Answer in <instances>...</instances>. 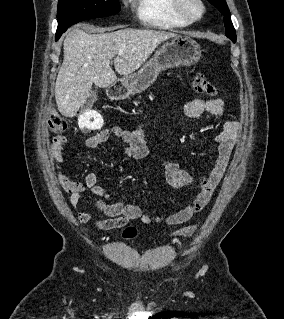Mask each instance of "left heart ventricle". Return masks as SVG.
Segmentation results:
<instances>
[{
  "instance_id": "obj_1",
  "label": "left heart ventricle",
  "mask_w": 284,
  "mask_h": 319,
  "mask_svg": "<svg viewBox=\"0 0 284 319\" xmlns=\"http://www.w3.org/2000/svg\"><path fill=\"white\" fill-rule=\"evenodd\" d=\"M187 11L192 16H197L200 14L201 9H200L199 5L194 0H189L187 3Z\"/></svg>"
}]
</instances>
